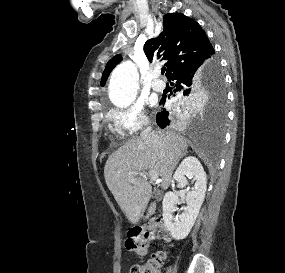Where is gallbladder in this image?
<instances>
[{"label": "gallbladder", "instance_id": "1", "mask_svg": "<svg viewBox=\"0 0 285 273\" xmlns=\"http://www.w3.org/2000/svg\"><path fill=\"white\" fill-rule=\"evenodd\" d=\"M160 197H161V193H160V192H156V193H155V198H156L157 200H160Z\"/></svg>", "mask_w": 285, "mask_h": 273}]
</instances>
